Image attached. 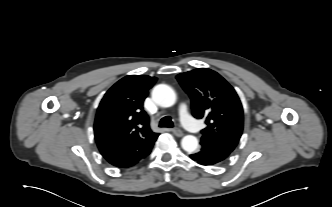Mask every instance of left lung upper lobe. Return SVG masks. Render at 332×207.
<instances>
[{"instance_id":"left-lung-upper-lobe-1","label":"left lung upper lobe","mask_w":332,"mask_h":207,"mask_svg":"<svg viewBox=\"0 0 332 207\" xmlns=\"http://www.w3.org/2000/svg\"><path fill=\"white\" fill-rule=\"evenodd\" d=\"M191 98L192 115L205 118L201 143L232 152L243 130V108L233 87L218 73L198 68L177 75Z\"/></svg>"}]
</instances>
